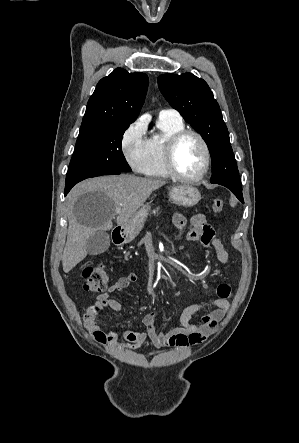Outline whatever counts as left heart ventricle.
<instances>
[{
    "label": "left heart ventricle",
    "mask_w": 299,
    "mask_h": 443,
    "mask_svg": "<svg viewBox=\"0 0 299 443\" xmlns=\"http://www.w3.org/2000/svg\"><path fill=\"white\" fill-rule=\"evenodd\" d=\"M204 151L194 136L185 137L176 148L175 164L180 173L186 176L197 175L203 167Z\"/></svg>",
    "instance_id": "b2bd125f"
}]
</instances>
